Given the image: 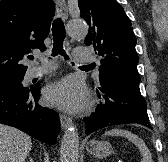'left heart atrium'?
<instances>
[{
    "mask_svg": "<svg viewBox=\"0 0 168 162\" xmlns=\"http://www.w3.org/2000/svg\"><path fill=\"white\" fill-rule=\"evenodd\" d=\"M46 101L53 106L79 111L88 101V94L83 83L76 77H67L53 85L45 92Z\"/></svg>",
    "mask_w": 168,
    "mask_h": 162,
    "instance_id": "obj_1",
    "label": "left heart atrium"
}]
</instances>
